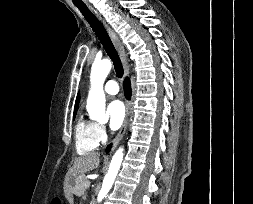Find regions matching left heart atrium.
Returning <instances> with one entry per match:
<instances>
[{"label":"left heart atrium","instance_id":"obj_1","mask_svg":"<svg viewBox=\"0 0 253 204\" xmlns=\"http://www.w3.org/2000/svg\"><path fill=\"white\" fill-rule=\"evenodd\" d=\"M107 115L109 118V126L112 130H117L121 127L125 119V108L121 101L113 100L107 106Z\"/></svg>","mask_w":253,"mask_h":204}]
</instances>
